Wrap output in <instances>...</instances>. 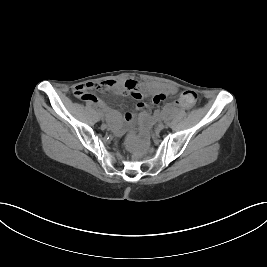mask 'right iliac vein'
Listing matches in <instances>:
<instances>
[{
  "label": "right iliac vein",
  "mask_w": 267,
  "mask_h": 267,
  "mask_svg": "<svg viewBox=\"0 0 267 267\" xmlns=\"http://www.w3.org/2000/svg\"><path fill=\"white\" fill-rule=\"evenodd\" d=\"M99 117H100L101 119H103V118H104L103 114H99Z\"/></svg>",
  "instance_id": "1"
}]
</instances>
